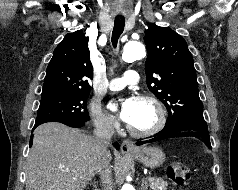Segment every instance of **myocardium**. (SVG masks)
Wrapping results in <instances>:
<instances>
[{
  "label": "myocardium",
  "mask_w": 238,
  "mask_h": 190,
  "mask_svg": "<svg viewBox=\"0 0 238 190\" xmlns=\"http://www.w3.org/2000/svg\"><path fill=\"white\" fill-rule=\"evenodd\" d=\"M136 100L143 101L150 104L155 111L156 120H155V123L151 127L147 129H143V130L133 128L132 126L127 124L126 126L127 131L131 135L135 137H139V138L150 137L157 134L159 131L163 129L166 123V112L162 103L155 96L151 94H140L137 96Z\"/></svg>",
  "instance_id": "f54148a6"
}]
</instances>
